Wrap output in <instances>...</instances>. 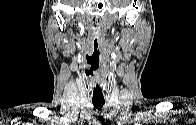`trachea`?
<instances>
[{"instance_id":"obj_1","label":"trachea","mask_w":196,"mask_h":125,"mask_svg":"<svg viewBox=\"0 0 196 125\" xmlns=\"http://www.w3.org/2000/svg\"><path fill=\"white\" fill-rule=\"evenodd\" d=\"M92 103L96 109H101L103 105L105 104V101L103 100H92Z\"/></svg>"}]
</instances>
